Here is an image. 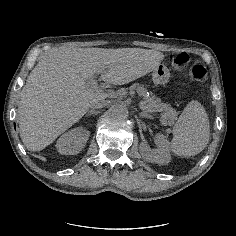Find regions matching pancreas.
I'll list each match as a JSON object with an SVG mask.
<instances>
[{"label":"pancreas","mask_w":236,"mask_h":236,"mask_svg":"<svg viewBox=\"0 0 236 236\" xmlns=\"http://www.w3.org/2000/svg\"><path fill=\"white\" fill-rule=\"evenodd\" d=\"M137 90L141 93L140 97L143 99L141 107H147L154 110L155 106L160 104V99L152 95L150 96V93L146 90V87L143 84H140L137 87ZM122 91L125 93L127 89H122Z\"/></svg>","instance_id":"cf45deb5"}]
</instances>
